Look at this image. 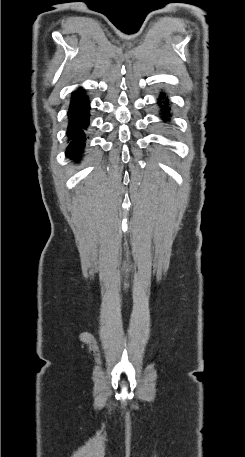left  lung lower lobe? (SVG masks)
Masks as SVG:
<instances>
[{
  "mask_svg": "<svg viewBox=\"0 0 245 457\" xmlns=\"http://www.w3.org/2000/svg\"><path fill=\"white\" fill-rule=\"evenodd\" d=\"M161 100H163L161 102ZM166 100V101H165ZM167 97L166 95H160V99H159V102L158 104L161 106V111H162V118L165 122L169 121L170 119V111H171V108L169 107V104L167 102Z\"/></svg>",
  "mask_w": 245,
  "mask_h": 457,
  "instance_id": "1",
  "label": "left lung lower lobe"
}]
</instances>
